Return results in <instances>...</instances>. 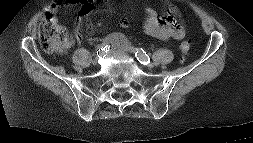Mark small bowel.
Returning a JSON list of instances; mask_svg holds the SVG:
<instances>
[{"instance_id": "c3829d8e", "label": "small bowel", "mask_w": 253, "mask_h": 143, "mask_svg": "<svg viewBox=\"0 0 253 143\" xmlns=\"http://www.w3.org/2000/svg\"><path fill=\"white\" fill-rule=\"evenodd\" d=\"M98 2L99 0H57L49 9L47 20L57 23L56 13L63 6L75 5L80 7V12L74 25L73 36L67 41V46L71 47L75 42L80 41L82 22ZM145 15L143 30L147 35L161 40L171 38L180 40L184 37L183 28L174 21L172 15L160 16L154 8L149 6L145 8ZM120 25L127 27L129 25L128 19L123 18L120 21ZM91 39L94 40V38Z\"/></svg>"}]
</instances>
